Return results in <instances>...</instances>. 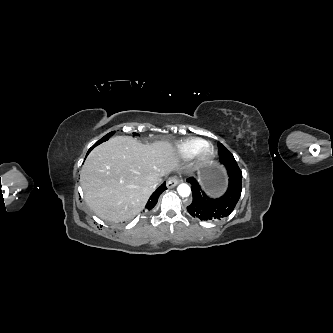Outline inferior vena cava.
<instances>
[{"label":"inferior vena cava","instance_id":"inferior-vena-cava-1","mask_svg":"<svg viewBox=\"0 0 333 333\" xmlns=\"http://www.w3.org/2000/svg\"><path fill=\"white\" fill-rule=\"evenodd\" d=\"M158 185H159V183H155V184L152 186L153 189H155Z\"/></svg>","mask_w":333,"mask_h":333}]
</instances>
